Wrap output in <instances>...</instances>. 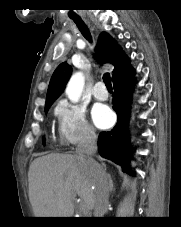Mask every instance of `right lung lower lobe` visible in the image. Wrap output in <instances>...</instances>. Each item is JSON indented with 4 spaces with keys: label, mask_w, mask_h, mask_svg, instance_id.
Masks as SVG:
<instances>
[{
    "label": "right lung lower lobe",
    "mask_w": 181,
    "mask_h": 227,
    "mask_svg": "<svg viewBox=\"0 0 181 227\" xmlns=\"http://www.w3.org/2000/svg\"><path fill=\"white\" fill-rule=\"evenodd\" d=\"M134 69L129 64L126 57L112 77L115 92L113 94V109L118 119L115 127L108 132L99 135V153L117 164H120L125 172H129V134L128 119L131 104V94L133 91Z\"/></svg>",
    "instance_id": "98d812e1"
}]
</instances>
